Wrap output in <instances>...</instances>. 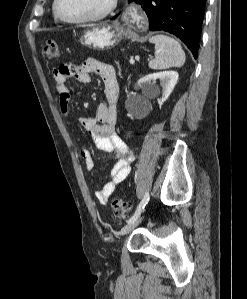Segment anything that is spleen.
Segmentation results:
<instances>
[{"label":"spleen","mask_w":247,"mask_h":299,"mask_svg":"<svg viewBox=\"0 0 247 299\" xmlns=\"http://www.w3.org/2000/svg\"><path fill=\"white\" fill-rule=\"evenodd\" d=\"M155 44V58L149 62L154 70L181 67L185 63V53L178 41L166 35H155L149 39Z\"/></svg>","instance_id":"obj_1"}]
</instances>
